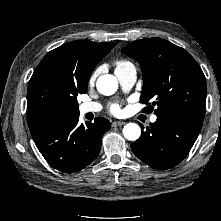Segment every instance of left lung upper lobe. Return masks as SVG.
<instances>
[{
	"instance_id": "1",
	"label": "left lung upper lobe",
	"mask_w": 221,
	"mask_h": 221,
	"mask_svg": "<svg viewBox=\"0 0 221 221\" xmlns=\"http://www.w3.org/2000/svg\"><path fill=\"white\" fill-rule=\"evenodd\" d=\"M122 53L137 60L143 72L141 102L152 100L156 116L189 115L204 119L205 76L183 48L161 38L131 42ZM144 111H153L146 107Z\"/></svg>"
}]
</instances>
